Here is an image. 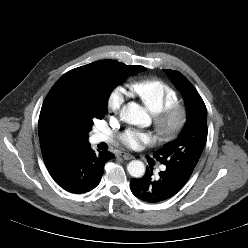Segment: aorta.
<instances>
[{
  "label": "aorta",
  "instance_id": "obj_1",
  "mask_svg": "<svg viewBox=\"0 0 248 248\" xmlns=\"http://www.w3.org/2000/svg\"><path fill=\"white\" fill-rule=\"evenodd\" d=\"M121 119L132 125L148 126L150 117L146 110L135 102L124 105L120 112ZM127 171L134 178H141L145 174V165L139 160H133L127 165Z\"/></svg>",
  "mask_w": 248,
  "mask_h": 248
}]
</instances>
